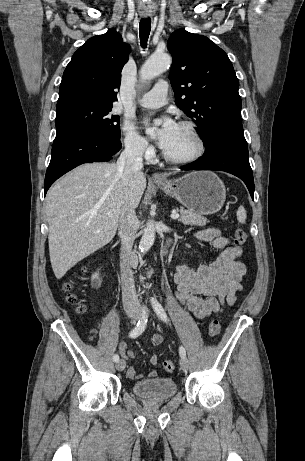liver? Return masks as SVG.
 I'll list each match as a JSON object with an SVG mask.
<instances>
[{"label":"liver","mask_w":305,"mask_h":461,"mask_svg":"<svg viewBox=\"0 0 305 461\" xmlns=\"http://www.w3.org/2000/svg\"><path fill=\"white\" fill-rule=\"evenodd\" d=\"M145 188L144 174L124 185L113 163L83 164L50 188L45 212L57 279L114 238L122 210L137 208Z\"/></svg>","instance_id":"obj_1"}]
</instances>
